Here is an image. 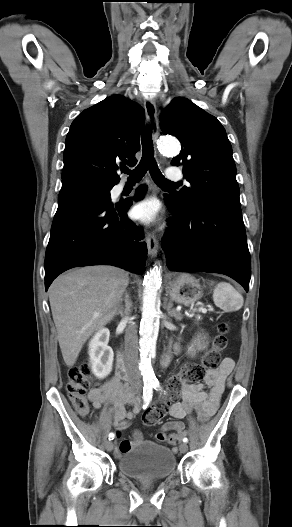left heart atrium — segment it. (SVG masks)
<instances>
[{"instance_id":"39dd6f15","label":"left heart atrium","mask_w":292,"mask_h":527,"mask_svg":"<svg viewBox=\"0 0 292 527\" xmlns=\"http://www.w3.org/2000/svg\"><path fill=\"white\" fill-rule=\"evenodd\" d=\"M134 216L139 221L149 224L157 217L156 204L153 200H145L137 204L134 208Z\"/></svg>"}]
</instances>
